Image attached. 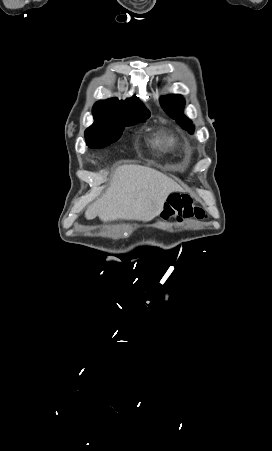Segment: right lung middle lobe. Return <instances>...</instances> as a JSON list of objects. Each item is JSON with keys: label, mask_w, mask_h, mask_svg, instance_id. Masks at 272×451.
I'll use <instances>...</instances> for the list:
<instances>
[{"label": "right lung middle lobe", "mask_w": 272, "mask_h": 451, "mask_svg": "<svg viewBox=\"0 0 272 451\" xmlns=\"http://www.w3.org/2000/svg\"><path fill=\"white\" fill-rule=\"evenodd\" d=\"M95 122L85 130L86 144L90 148H102L117 141L127 126L144 122L150 113L146 108L127 112H93Z\"/></svg>", "instance_id": "1"}]
</instances>
